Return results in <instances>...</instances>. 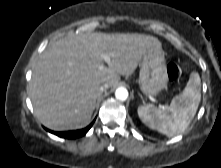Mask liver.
<instances>
[{"mask_svg":"<svg viewBox=\"0 0 221 168\" xmlns=\"http://www.w3.org/2000/svg\"><path fill=\"white\" fill-rule=\"evenodd\" d=\"M162 50L161 42L144 34L89 33L59 39L36 62L29 85L34 113L55 131L85 127L101 94V85H117L120 75L134 73L144 54ZM103 54H110L104 69Z\"/></svg>","mask_w":221,"mask_h":168,"instance_id":"1","label":"liver"}]
</instances>
